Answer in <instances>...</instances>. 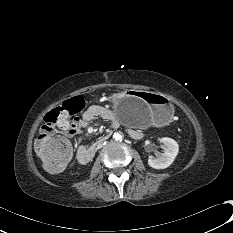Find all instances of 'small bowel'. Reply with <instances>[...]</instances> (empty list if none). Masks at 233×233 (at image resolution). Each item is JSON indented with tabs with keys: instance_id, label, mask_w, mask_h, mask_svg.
Segmentation results:
<instances>
[{
	"instance_id": "obj_1",
	"label": "small bowel",
	"mask_w": 233,
	"mask_h": 233,
	"mask_svg": "<svg viewBox=\"0 0 233 233\" xmlns=\"http://www.w3.org/2000/svg\"><path fill=\"white\" fill-rule=\"evenodd\" d=\"M101 118L113 124L116 123L114 113L101 105H91L80 116L73 120H67L54 128L55 132L62 133L65 136L73 137L86 128L94 119ZM135 136H141V132L132 131Z\"/></svg>"
}]
</instances>
